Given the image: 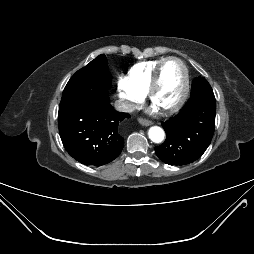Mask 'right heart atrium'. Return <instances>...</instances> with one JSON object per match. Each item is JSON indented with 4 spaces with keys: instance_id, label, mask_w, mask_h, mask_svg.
<instances>
[{
    "instance_id": "obj_1",
    "label": "right heart atrium",
    "mask_w": 254,
    "mask_h": 254,
    "mask_svg": "<svg viewBox=\"0 0 254 254\" xmlns=\"http://www.w3.org/2000/svg\"><path fill=\"white\" fill-rule=\"evenodd\" d=\"M117 90L119 98L126 107L139 103L143 99V94L131 84L126 76H119L117 80Z\"/></svg>"
}]
</instances>
